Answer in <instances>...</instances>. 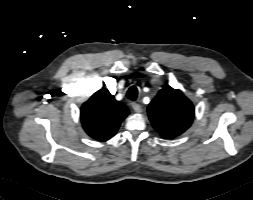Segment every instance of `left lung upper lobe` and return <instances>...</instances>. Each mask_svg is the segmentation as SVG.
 I'll return each mask as SVG.
<instances>
[{
    "mask_svg": "<svg viewBox=\"0 0 253 200\" xmlns=\"http://www.w3.org/2000/svg\"><path fill=\"white\" fill-rule=\"evenodd\" d=\"M148 115L155 130L162 137L171 138L190 127L194 107L180 90L167 86L149 104Z\"/></svg>",
    "mask_w": 253,
    "mask_h": 200,
    "instance_id": "5c2ea615",
    "label": "left lung upper lobe"
}]
</instances>
